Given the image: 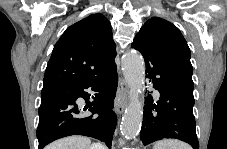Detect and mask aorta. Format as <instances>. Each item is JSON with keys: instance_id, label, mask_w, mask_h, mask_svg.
<instances>
[{"instance_id": "aorta-1", "label": "aorta", "mask_w": 227, "mask_h": 149, "mask_svg": "<svg viewBox=\"0 0 227 149\" xmlns=\"http://www.w3.org/2000/svg\"><path fill=\"white\" fill-rule=\"evenodd\" d=\"M123 75L130 88V102L125 110L121 123V133L131 139L138 135L143 119V103L140 100L145 79V64L142 56L135 52H127L122 59Z\"/></svg>"}]
</instances>
